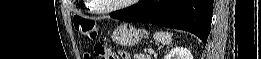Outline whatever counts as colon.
<instances>
[{
    "label": "colon",
    "instance_id": "colon-1",
    "mask_svg": "<svg viewBox=\"0 0 261 59\" xmlns=\"http://www.w3.org/2000/svg\"><path fill=\"white\" fill-rule=\"evenodd\" d=\"M74 25L76 29L82 33L89 40H95L97 38L98 28L92 19H84L81 17L74 19ZM95 54L101 59H115V53L106 45L96 43L94 46ZM120 57V52H119Z\"/></svg>",
    "mask_w": 261,
    "mask_h": 59
}]
</instances>
